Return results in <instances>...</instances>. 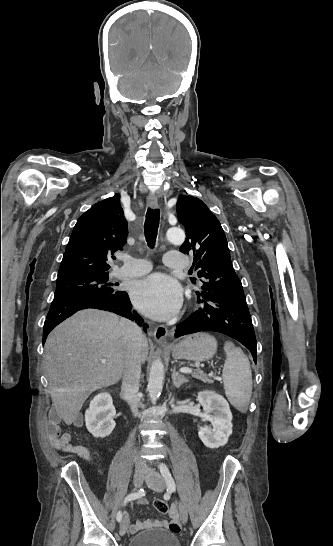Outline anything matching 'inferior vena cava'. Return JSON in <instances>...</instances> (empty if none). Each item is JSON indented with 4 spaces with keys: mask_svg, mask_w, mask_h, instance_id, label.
<instances>
[{
    "mask_svg": "<svg viewBox=\"0 0 333 546\" xmlns=\"http://www.w3.org/2000/svg\"><path fill=\"white\" fill-rule=\"evenodd\" d=\"M120 325L123 329L124 340L127 344L121 392L129 404L132 413L137 416V394L140 384L141 349L144 336L141 328L132 321L122 319ZM135 466L137 468L146 467V462L139 456H136Z\"/></svg>",
    "mask_w": 333,
    "mask_h": 546,
    "instance_id": "1",
    "label": "inferior vena cava"
}]
</instances>
